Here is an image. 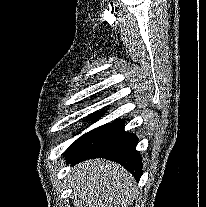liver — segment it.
I'll use <instances>...</instances> for the list:
<instances>
[{
  "instance_id": "liver-1",
  "label": "liver",
  "mask_w": 206,
  "mask_h": 207,
  "mask_svg": "<svg viewBox=\"0 0 206 207\" xmlns=\"http://www.w3.org/2000/svg\"><path fill=\"white\" fill-rule=\"evenodd\" d=\"M68 179L75 207H128L136 193L132 175L121 165L104 159L73 166Z\"/></svg>"
}]
</instances>
